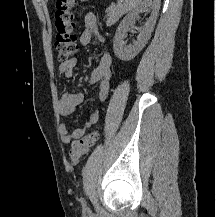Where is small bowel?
<instances>
[{"mask_svg": "<svg viewBox=\"0 0 216 217\" xmlns=\"http://www.w3.org/2000/svg\"><path fill=\"white\" fill-rule=\"evenodd\" d=\"M84 30L80 36V42L83 45H87L91 42L92 38H97L103 41V38L99 32L96 15L93 13H87L84 16ZM78 58L73 57L70 61L59 64V71L67 79H71L74 76V69L77 65ZM112 56L108 51H105L102 55L98 66L91 73L89 82L90 84H98L99 92L98 98L100 102H104L108 97L110 91V83L112 77L111 71ZM84 101V94L79 91H72L64 93L58 100L57 108L61 116H68L75 112L76 108ZM99 121V110L92 112L88 120L81 126L69 130L65 123H62L59 127L60 140L63 143L73 142L82 136L97 122Z\"/></svg>", "mask_w": 216, "mask_h": 217, "instance_id": "small-bowel-1", "label": "small bowel"}]
</instances>
